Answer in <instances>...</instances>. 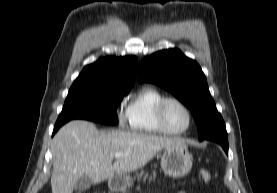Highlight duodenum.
Returning a JSON list of instances; mask_svg holds the SVG:
<instances>
[{
	"instance_id": "1",
	"label": "duodenum",
	"mask_w": 277,
	"mask_h": 193,
	"mask_svg": "<svg viewBox=\"0 0 277 193\" xmlns=\"http://www.w3.org/2000/svg\"><path fill=\"white\" fill-rule=\"evenodd\" d=\"M121 184L118 180H112L110 182V187L113 189V190H118L120 188Z\"/></svg>"
}]
</instances>
